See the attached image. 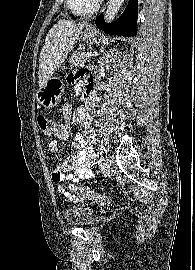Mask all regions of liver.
Listing matches in <instances>:
<instances>
[{
  "label": "liver",
  "mask_w": 195,
  "mask_h": 270,
  "mask_svg": "<svg viewBox=\"0 0 195 270\" xmlns=\"http://www.w3.org/2000/svg\"><path fill=\"white\" fill-rule=\"evenodd\" d=\"M85 22L59 20L48 32L39 57V87H43L73 49Z\"/></svg>",
  "instance_id": "liver-1"
}]
</instances>
